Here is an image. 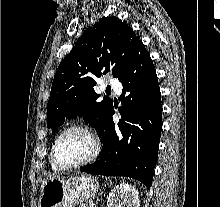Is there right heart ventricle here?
Instances as JSON below:
<instances>
[{"label": "right heart ventricle", "mask_w": 220, "mask_h": 207, "mask_svg": "<svg viewBox=\"0 0 220 207\" xmlns=\"http://www.w3.org/2000/svg\"><path fill=\"white\" fill-rule=\"evenodd\" d=\"M51 167H52L54 170H59V169L55 166V164L52 162V160H51Z\"/></svg>", "instance_id": "right-heart-ventricle-1"}]
</instances>
